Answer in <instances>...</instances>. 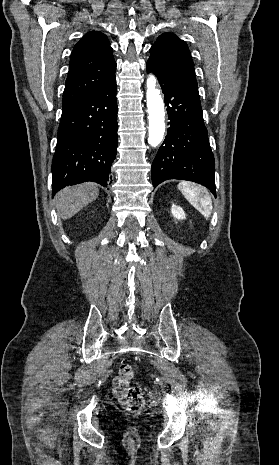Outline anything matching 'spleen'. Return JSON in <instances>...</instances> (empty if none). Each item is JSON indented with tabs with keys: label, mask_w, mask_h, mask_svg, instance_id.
<instances>
[{
	"label": "spleen",
	"mask_w": 279,
	"mask_h": 465,
	"mask_svg": "<svg viewBox=\"0 0 279 465\" xmlns=\"http://www.w3.org/2000/svg\"><path fill=\"white\" fill-rule=\"evenodd\" d=\"M178 189L184 197L192 204L205 218H209L212 213V200L209 193L201 186H196L190 182L182 181L178 184Z\"/></svg>",
	"instance_id": "3e777b00"
}]
</instances>
